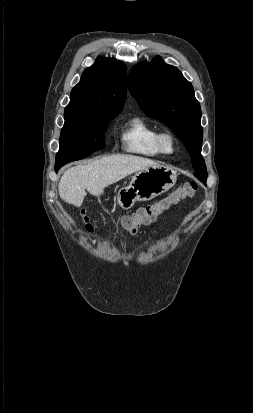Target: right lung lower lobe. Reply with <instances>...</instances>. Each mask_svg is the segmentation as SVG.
I'll return each instance as SVG.
<instances>
[{
  "mask_svg": "<svg viewBox=\"0 0 253 413\" xmlns=\"http://www.w3.org/2000/svg\"><path fill=\"white\" fill-rule=\"evenodd\" d=\"M61 165H55V171L58 172V170L61 168Z\"/></svg>",
  "mask_w": 253,
  "mask_h": 413,
  "instance_id": "right-lung-lower-lobe-1",
  "label": "right lung lower lobe"
}]
</instances>
